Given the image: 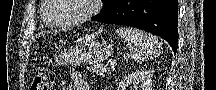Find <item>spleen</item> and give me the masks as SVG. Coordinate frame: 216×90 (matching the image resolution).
<instances>
[{
  "label": "spleen",
  "instance_id": "1",
  "mask_svg": "<svg viewBox=\"0 0 216 90\" xmlns=\"http://www.w3.org/2000/svg\"><path fill=\"white\" fill-rule=\"evenodd\" d=\"M116 34L125 40L134 62H148L161 52V44L152 34L137 28H117Z\"/></svg>",
  "mask_w": 216,
  "mask_h": 90
}]
</instances>
